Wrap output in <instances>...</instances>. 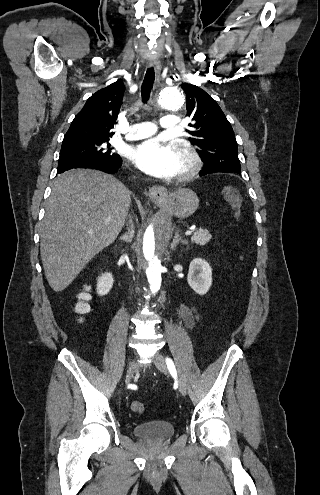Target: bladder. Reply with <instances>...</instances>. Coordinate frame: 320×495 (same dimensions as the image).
I'll list each match as a JSON object with an SVG mask.
<instances>
[{
    "label": "bladder",
    "mask_w": 320,
    "mask_h": 495,
    "mask_svg": "<svg viewBox=\"0 0 320 495\" xmlns=\"http://www.w3.org/2000/svg\"><path fill=\"white\" fill-rule=\"evenodd\" d=\"M134 434L142 439L164 441L175 434V426L168 421L154 420L135 425Z\"/></svg>",
    "instance_id": "31cf9c89"
}]
</instances>
